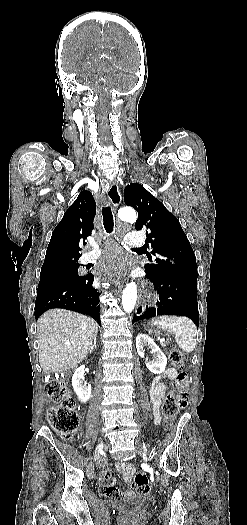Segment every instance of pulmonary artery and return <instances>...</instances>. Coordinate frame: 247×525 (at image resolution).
I'll list each match as a JSON object with an SVG mask.
<instances>
[{
	"label": "pulmonary artery",
	"mask_w": 247,
	"mask_h": 525,
	"mask_svg": "<svg viewBox=\"0 0 247 525\" xmlns=\"http://www.w3.org/2000/svg\"><path fill=\"white\" fill-rule=\"evenodd\" d=\"M124 242L130 247H140L145 242V236H125ZM95 259V253L91 251V248H88L80 258V261H94Z\"/></svg>",
	"instance_id": "pulmonary-artery-1"
}]
</instances>
